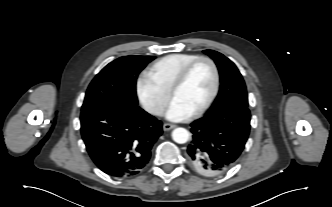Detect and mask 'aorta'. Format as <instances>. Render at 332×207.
Here are the masks:
<instances>
[{"label":"aorta","instance_id":"1","mask_svg":"<svg viewBox=\"0 0 332 207\" xmlns=\"http://www.w3.org/2000/svg\"><path fill=\"white\" fill-rule=\"evenodd\" d=\"M189 132L185 128H176L172 131V138L176 143L184 144L189 140Z\"/></svg>","mask_w":332,"mask_h":207}]
</instances>
